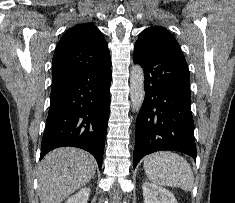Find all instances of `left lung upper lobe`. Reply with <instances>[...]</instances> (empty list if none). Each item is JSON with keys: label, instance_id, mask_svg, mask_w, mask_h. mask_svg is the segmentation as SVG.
Listing matches in <instances>:
<instances>
[{"label": "left lung upper lobe", "instance_id": "1", "mask_svg": "<svg viewBox=\"0 0 235 203\" xmlns=\"http://www.w3.org/2000/svg\"><path fill=\"white\" fill-rule=\"evenodd\" d=\"M136 44H145L166 51L186 61L174 36L163 27L154 26L145 29L139 34Z\"/></svg>", "mask_w": 235, "mask_h": 203}]
</instances>
